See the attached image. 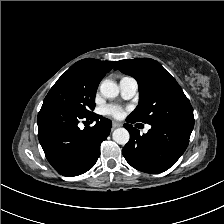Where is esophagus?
Wrapping results in <instances>:
<instances>
[{
  "label": "esophagus",
  "instance_id": "34e87169",
  "mask_svg": "<svg viewBox=\"0 0 224 224\" xmlns=\"http://www.w3.org/2000/svg\"><path fill=\"white\" fill-rule=\"evenodd\" d=\"M120 126H121L120 123H117V122H113V123H112V127H113V128H118V127H120Z\"/></svg>",
  "mask_w": 224,
  "mask_h": 224
}]
</instances>
